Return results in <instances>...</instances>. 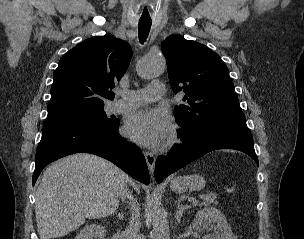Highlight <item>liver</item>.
<instances>
[{"instance_id": "6515ba94", "label": "liver", "mask_w": 304, "mask_h": 239, "mask_svg": "<svg viewBox=\"0 0 304 239\" xmlns=\"http://www.w3.org/2000/svg\"><path fill=\"white\" fill-rule=\"evenodd\" d=\"M129 182L139 191L125 172L92 154L77 153L54 162L36 191L40 239L66 236L86 219L111 215Z\"/></svg>"}]
</instances>
